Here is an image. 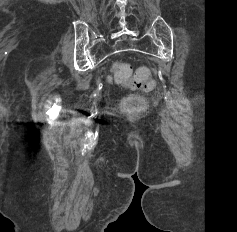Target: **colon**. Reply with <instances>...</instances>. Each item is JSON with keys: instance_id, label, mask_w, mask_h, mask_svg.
<instances>
[{"instance_id": "1", "label": "colon", "mask_w": 237, "mask_h": 232, "mask_svg": "<svg viewBox=\"0 0 237 232\" xmlns=\"http://www.w3.org/2000/svg\"><path fill=\"white\" fill-rule=\"evenodd\" d=\"M114 80L130 89L151 90L154 87V81L147 68H139L132 75L130 65L124 63H115L112 68ZM129 109L142 107V102L137 99H130L126 102Z\"/></svg>"}]
</instances>
